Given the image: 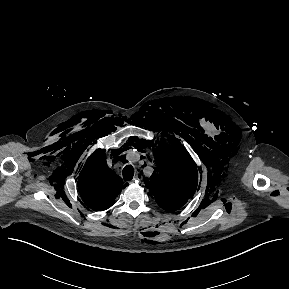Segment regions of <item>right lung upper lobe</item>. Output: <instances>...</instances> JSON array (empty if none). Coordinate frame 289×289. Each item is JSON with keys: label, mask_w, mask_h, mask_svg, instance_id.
<instances>
[{"label": "right lung upper lobe", "mask_w": 289, "mask_h": 289, "mask_svg": "<svg viewBox=\"0 0 289 289\" xmlns=\"http://www.w3.org/2000/svg\"><path fill=\"white\" fill-rule=\"evenodd\" d=\"M105 157L104 150L97 151L79 176V192L88 210L108 209L123 188L122 179L106 167Z\"/></svg>", "instance_id": "1"}]
</instances>
